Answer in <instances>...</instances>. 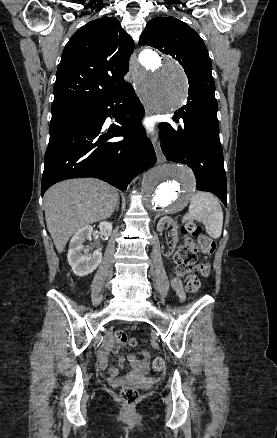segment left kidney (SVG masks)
I'll return each instance as SVG.
<instances>
[{"instance_id": "left-kidney-1", "label": "left kidney", "mask_w": 277, "mask_h": 438, "mask_svg": "<svg viewBox=\"0 0 277 438\" xmlns=\"http://www.w3.org/2000/svg\"><path fill=\"white\" fill-rule=\"evenodd\" d=\"M165 224H170V226H173V236H174L173 252H174V250L176 248V244L178 242L177 222H175V220H172V218H169V216H163V218H161V220H159V222L157 224L158 232H163Z\"/></svg>"}]
</instances>
